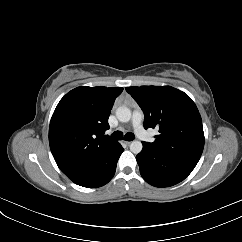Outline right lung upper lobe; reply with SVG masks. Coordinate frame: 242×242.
<instances>
[{
    "label": "right lung upper lobe",
    "mask_w": 242,
    "mask_h": 242,
    "mask_svg": "<svg viewBox=\"0 0 242 242\" xmlns=\"http://www.w3.org/2000/svg\"><path fill=\"white\" fill-rule=\"evenodd\" d=\"M121 87H77L58 103L49 126L52 155L67 176L116 144L108 135V118Z\"/></svg>",
    "instance_id": "cb5924a9"
}]
</instances>
